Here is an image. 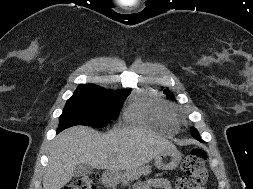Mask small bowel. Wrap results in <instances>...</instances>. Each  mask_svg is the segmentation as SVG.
<instances>
[{"label":"small bowel","instance_id":"obj_1","mask_svg":"<svg viewBox=\"0 0 253 189\" xmlns=\"http://www.w3.org/2000/svg\"><path fill=\"white\" fill-rule=\"evenodd\" d=\"M171 189L170 184L165 179H157L150 183H142L138 184L134 187V189Z\"/></svg>","mask_w":253,"mask_h":189}]
</instances>
